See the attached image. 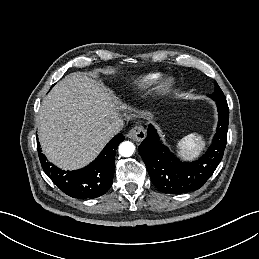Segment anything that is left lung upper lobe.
<instances>
[{"label": "left lung upper lobe", "instance_id": "5c2ea615", "mask_svg": "<svg viewBox=\"0 0 259 259\" xmlns=\"http://www.w3.org/2000/svg\"><path fill=\"white\" fill-rule=\"evenodd\" d=\"M209 97H211L213 100H225V96L216 82L215 91L211 96L209 95Z\"/></svg>", "mask_w": 259, "mask_h": 259}]
</instances>
